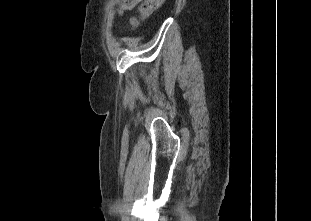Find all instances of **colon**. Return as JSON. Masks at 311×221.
I'll use <instances>...</instances> for the list:
<instances>
[{
	"instance_id": "1",
	"label": "colon",
	"mask_w": 311,
	"mask_h": 221,
	"mask_svg": "<svg viewBox=\"0 0 311 221\" xmlns=\"http://www.w3.org/2000/svg\"><path fill=\"white\" fill-rule=\"evenodd\" d=\"M164 0H142L138 10V16L131 19L132 29L137 28L142 20L151 16L157 9H159ZM137 3L134 0L118 1L116 6L117 12H128L129 8H136Z\"/></svg>"
}]
</instances>
